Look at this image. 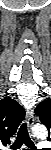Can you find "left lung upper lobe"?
Returning a JSON list of instances; mask_svg holds the SVG:
<instances>
[{
    "instance_id": "1",
    "label": "left lung upper lobe",
    "mask_w": 51,
    "mask_h": 150,
    "mask_svg": "<svg viewBox=\"0 0 51 150\" xmlns=\"http://www.w3.org/2000/svg\"><path fill=\"white\" fill-rule=\"evenodd\" d=\"M35 113L39 116V120L48 129L51 128V100H44L35 109Z\"/></svg>"
}]
</instances>
